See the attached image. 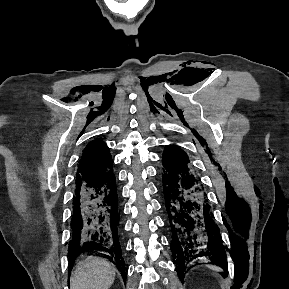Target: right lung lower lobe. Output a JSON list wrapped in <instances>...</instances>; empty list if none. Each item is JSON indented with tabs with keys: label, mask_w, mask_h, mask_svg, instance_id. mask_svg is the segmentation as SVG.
I'll list each match as a JSON object with an SVG mask.
<instances>
[{
	"label": "right lung lower lobe",
	"mask_w": 289,
	"mask_h": 289,
	"mask_svg": "<svg viewBox=\"0 0 289 289\" xmlns=\"http://www.w3.org/2000/svg\"><path fill=\"white\" fill-rule=\"evenodd\" d=\"M115 176L112 169L79 184L73 197L72 238L69 241V271L75 259L86 251L101 252L122 272L121 225Z\"/></svg>",
	"instance_id": "98d812e1"
}]
</instances>
